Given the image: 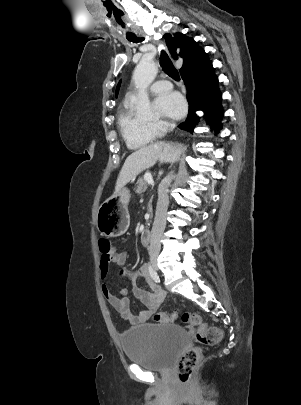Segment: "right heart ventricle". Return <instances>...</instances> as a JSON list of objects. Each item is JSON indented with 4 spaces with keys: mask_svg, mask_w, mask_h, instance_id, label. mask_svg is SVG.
<instances>
[{
    "mask_svg": "<svg viewBox=\"0 0 301 405\" xmlns=\"http://www.w3.org/2000/svg\"><path fill=\"white\" fill-rule=\"evenodd\" d=\"M118 126L130 149H139L151 143L156 136L150 124L139 120L134 115L130 101H127L119 112Z\"/></svg>",
    "mask_w": 301,
    "mask_h": 405,
    "instance_id": "e07e8e85",
    "label": "right heart ventricle"
}]
</instances>
